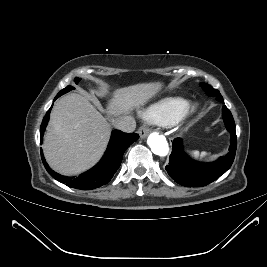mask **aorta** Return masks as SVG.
Listing matches in <instances>:
<instances>
[{
  "label": "aorta",
  "instance_id": "aorta-1",
  "mask_svg": "<svg viewBox=\"0 0 267 267\" xmlns=\"http://www.w3.org/2000/svg\"><path fill=\"white\" fill-rule=\"evenodd\" d=\"M147 143L152 152L158 156H166L169 152V145L166 138L158 133L149 135Z\"/></svg>",
  "mask_w": 267,
  "mask_h": 267
}]
</instances>
